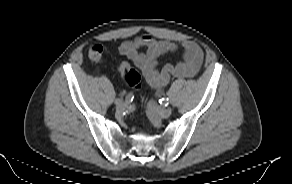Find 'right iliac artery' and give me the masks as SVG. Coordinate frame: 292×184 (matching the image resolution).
Here are the masks:
<instances>
[{
  "mask_svg": "<svg viewBox=\"0 0 292 184\" xmlns=\"http://www.w3.org/2000/svg\"><path fill=\"white\" fill-rule=\"evenodd\" d=\"M126 102H132L133 101V94L129 93L126 98L124 99Z\"/></svg>",
  "mask_w": 292,
  "mask_h": 184,
  "instance_id": "82829eb1",
  "label": "right iliac artery"
}]
</instances>
